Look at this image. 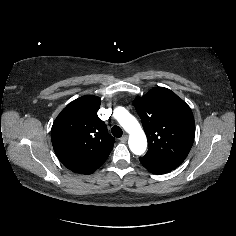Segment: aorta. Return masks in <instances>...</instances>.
Instances as JSON below:
<instances>
[{
	"label": "aorta",
	"instance_id": "aorta-1",
	"mask_svg": "<svg viewBox=\"0 0 236 236\" xmlns=\"http://www.w3.org/2000/svg\"><path fill=\"white\" fill-rule=\"evenodd\" d=\"M114 117L124 130L129 133V148L136 155H142L147 148V138L137 119L124 107L114 109Z\"/></svg>",
	"mask_w": 236,
	"mask_h": 236
}]
</instances>
